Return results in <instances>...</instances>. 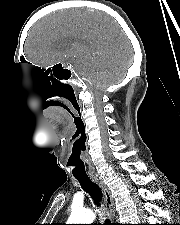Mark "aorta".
Wrapping results in <instances>:
<instances>
[{"label": "aorta", "instance_id": "aorta-1", "mask_svg": "<svg viewBox=\"0 0 180 225\" xmlns=\"http://www.w3.org/2000/svg\"><path fill=\"white\" fill-rule=\"evenodd\" d=\"M95 219V213L90 209L72 211L68 224H91Z\"/></svg>", "mask_w": 180, "mask_h": 225}]
</instances>
